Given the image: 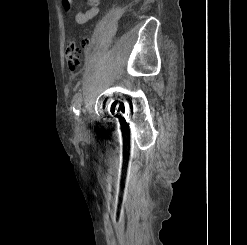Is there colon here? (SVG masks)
I'll use <instances>...</instances> for the list:
<instances>
[{
    "label": "colon",
    "instance_id": "obj_1",
    "mask_svg": "<svg viewBox=\"0 0 247 245\" xmlns=\"http://www.w3.org/2000/svg\"><path fill=\"white\" fill-rule=\"evenodd\" d=\"M89 44V36H83L79 42H77L73 37L67 38L65 59L70 72H76L79 70L82 64L83 55Z\"/></svg>",
    "mask_w": 247,
    "mask_h": 245
}]
</instances>
